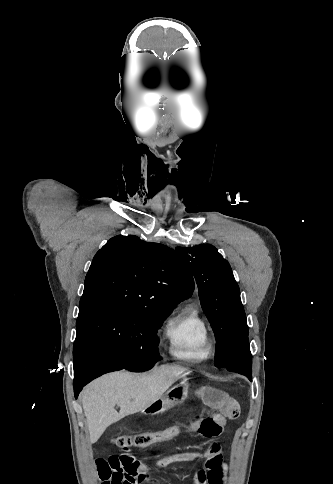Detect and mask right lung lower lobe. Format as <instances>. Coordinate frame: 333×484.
I'll return each instance as SVG.
<instances>
[{
    "label": "right lung lower lobe",
    "instance_id": "right-lung-lower-lobe-1",
    "mask_svg": "<svg viewBox=\"0 0 333 484\" xmlns=\"http://www.w3.org/2000/svg\"><path fill=\"white\" fill-rule=\"evenodd\" d=\"M116 357L97 345H88L82 352V358L74 363V393L79 392L92 379L114 370L123 369Z\"/></svg>",
    "mask_w": 333,
    "mask_h": 484
}]
</instances>
